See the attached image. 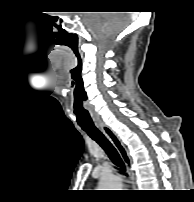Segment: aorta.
Masks as SVG:
<instances>
[{"label":"aorta","mask_w":194,"mask_h":202,"mask_svg":"<svg viewBox=\"0 0 194 202\" xmlns=\"http://www.w3.org/2000/svg\"><path fill=\"white\" fill-rule=\"evenodd\" d=\"M99 190H120L121 180L117 176H102L99 182Z\"/></svg>","instance_id":"obj_1"}]
</instances>
